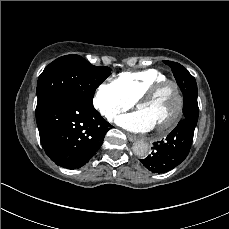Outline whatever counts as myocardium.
Listing matches in <instances>:
<instances>
[{
	"mask_svg": "<svg viewBox=\"0 0 229 229\" xmlns=\"http://www.w3.org/2000/svg\"><path fill=\"white\" fill-rule=\"evenodd\" d=\"M169 84L174 85L176 88L171 90L172 102L174 103L171 109V114L167 119V126L155 128L160 134H168L182 121L186 109L187 99L180 83L174 79H166L159 82L158 84L151 87L139 100L137 107L139 108L142 104L149 103L155 99V97Z\"/></svg>",
	"mask_w": 229,
	"mask_h": 229,
	"instance_id": "obj_1",
	"label": "myocardium"
}]
</instances>
